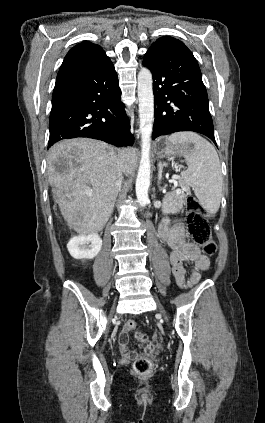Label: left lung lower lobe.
<instances>
[{"mask_svg":"<svg viewBox=\"0 0 265 423\" xmlns=\"http://www.w3.org/2000/svg\"><path fill=\"white\" fill-rule=\"evenodd\" d=\"M143 65L153 74L155 120L152 139L194 131L216 145L208 96L199 65L180 40L161 37L146 52Z\"/></svg>","mask_w":265,"mask_h":423,"instance_id":"obj_1","label":"left lung lower lobe"}]
</instances>
